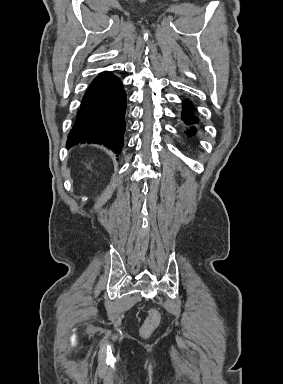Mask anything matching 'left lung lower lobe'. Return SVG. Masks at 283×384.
Segmentation results:
<instances>
[{
	"mask_svg": "<svg viewBox=\"0 0 283 384\" xmlns=\"http://www.w3.org/2000/svg\"><path fill=\"white\" fill-rule=\"evenodd\" d=\"M181 117L184 123L189 126L187 132L188 136H193L197 131L196 127L193 125L198 122V119L193 115V107L187 100L184 101V109Z\"/></svg>",
	"mask_w": 283,
	"mask_h": 384,
	"instance_id": "left-lung-lower-lobe-1",
	"label": "left lung lower lobe"
}]
</instances>
